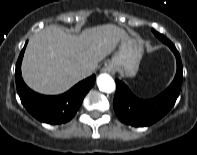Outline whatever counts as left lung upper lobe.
Returning a JSON list of instances; mask_svg holds the SVG:
<instances>
[{
	"label": "left lung upper lobe",
	"instance_id": "5c2ea615",
	"mask_svg": "<svg viewBox=\"0 0 197 155\" xmlns=\"http://www.w3.org/2000/svg\"><path fill=\"white\" fill-rule=\"evenodd\" d=\"M153 33L165 44H167V42L169 41L164 35L158 33L157 31H155L154 29L152 30Z\"/></svg>",
	"mask_w": 197,
	"mask_h": 155
}]
</instances>
